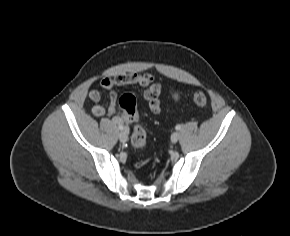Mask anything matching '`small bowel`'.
<instances>
[{
	"mask_svg": "<svg viewBox=\"0 0 290 236\" xmlns=\"http://www.w3.org/2000/svg\"><path fill=\"white\" fill-rule=\"evenodd\" d=\"M137 85L143 88V96L147 101L149 109L154 114L161 112V86L155 82L151 74H123L115 78L105 77L100 81V87L110 91V105L106 108L101 103V91L92 89L89 98L94 103L92 112L97 117L104 115L114 116V121L118 123L130 122L125 114H120L116 109L117 96L114 92L116 87Z\"/></svg>",
	"mask_w": 290,
	"mask_h": 236,
	"instance_id": "1",
	"label": "small bowel"
}]
</instances>
